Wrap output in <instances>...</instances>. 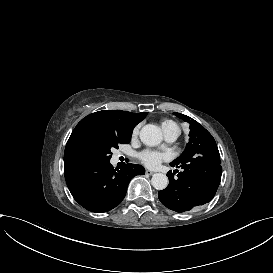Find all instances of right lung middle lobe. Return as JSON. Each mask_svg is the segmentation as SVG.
I'll return each mask as SVG.
<instances>
[{
	"instance_id": "obj_1",
	"label": "right lung middle lobe",
	"mask_w": 273,
	"mask_h": 273,
	"mask_svg": "<svg viewBox=\"0 0 273 273\" xmlns=\"http://www.w3.org/2000/svg\"><path fill=\"white\" fill-rule=\"evenodd\" d=\"M131 138H121L113 134L86 130L73 142L72 155L83 165H97L110 162L111 149L119 144H128Z\"/></svg>"
}]
</instances>
